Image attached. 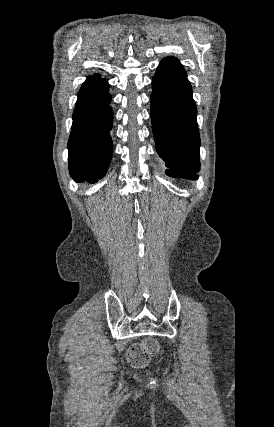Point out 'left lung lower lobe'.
<instances>
[{"mask_svg":"<svg viewBox=\"0 0 274 427\" xmlns=\"http://www.w3.org/2000/svg\"><path fill=\"white\" fill-rule=\"evenodd\" d=\"M151 119L156 150L173 178L196 180L200 138L196 106L183 66L165 58L152 81Z\"/></svg>","mask_w":274,"mask_h":427,"instance_id":"obj_1","label":"left lung lower lobe"}]
</instances>
